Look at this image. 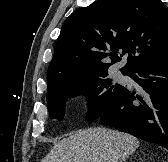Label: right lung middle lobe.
Wrapping results in <instances>:
<instances>
[{
    "label": "right lung middle lobe",
    "mask_w": 168,
    "mask_h": 162,
    "mask_svg": "<svg viewBox=\"0 0 168 162\" xmlns=\"http://www.w3.org/2000/svg\"><path fill=\"white\" fill-rule=\"evenodd\" d=\"M127 75V73H123ZM107 72H95L88 75L56 82L47 88V107L51 119L62 120L65 103L70 95L77 92L87 95L90 102L87 121L99 118L113 103L124 86L107 78Z\"/></svg>",
    "instance_id": "right-lung-middle-lobe-1"
}]
</instances>
